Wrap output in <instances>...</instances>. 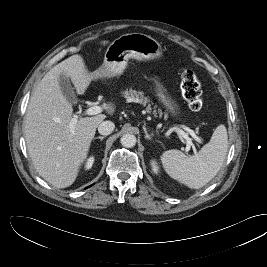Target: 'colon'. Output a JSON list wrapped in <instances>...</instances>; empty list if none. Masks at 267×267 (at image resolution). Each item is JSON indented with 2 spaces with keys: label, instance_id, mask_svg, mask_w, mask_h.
<instances>
[{
  "label": "colon",
  "instance_id": "1",
  "mask_svg": "<svg viewBox=\"0 0 267 267\" xmlns=\"http://www.w3.org/2000/svg\"><path fill=\"white\" fill-rule=\"evenodd\" d=\"M180 89L183 99L192 111H200L203 106L201 86L197 76L191 69L182 73Z\"/></svg>",
  "mask_w": 267,
  "mask_h": 267
}]
</instances>
